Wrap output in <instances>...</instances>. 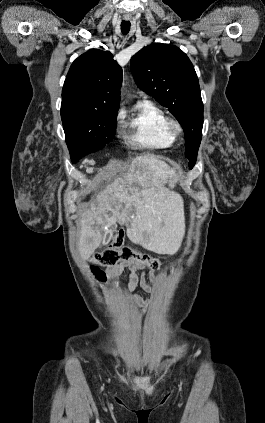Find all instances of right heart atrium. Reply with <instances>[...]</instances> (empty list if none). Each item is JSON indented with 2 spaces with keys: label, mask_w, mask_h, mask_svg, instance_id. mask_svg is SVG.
I'll use <instances>...</instances> for the list:
<instances>
[{
  "label": "right heart atrium",
  "mask_w": 265,
  "mask_h": 423,
  "mask_svg": "<svg viewBox=\"0 0 265 423\" xmlns=\"http://www.w3.org/2000/svg\"><path fill=\"white\" fill-rule=\"evenodd\" d=\"M124 113L123 111L119 110L116 114L117 119H121L123 117Z\"/></svg>",
  "instance_id": "d8ad5b80"
}]
</instances>
